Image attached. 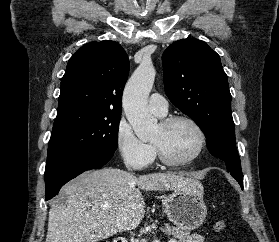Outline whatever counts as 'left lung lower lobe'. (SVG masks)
<instances>
[{"label": "left lung lower lobe", "mask_w": 279, "mask_h": 242, "mask_svg": "<svg viewBox=\"0 0 279 242\" xmlns=\"http://www.w3.org/2000/svg\"><path fill=\"white\" fill-rule=\"evenodd\" d=\"M237 182L240 184L241 188L243 189V180L236 179Z\"/></svg>", "instance_id": "0a47b994"}]
</instances>
